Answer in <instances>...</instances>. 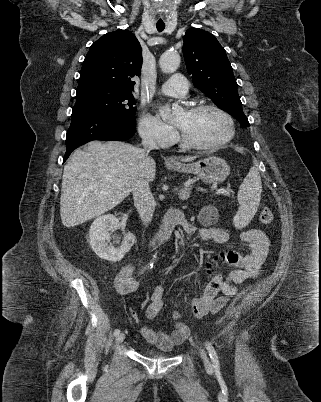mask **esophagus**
I'll return each mask as SVG.
<instances>
[{
    "label": "esophagus",
    "mask_w": 321,
    "mask_h": 402,
    "mask_svg": "<svg viewBox=\"0 0 321 402\" xmlns=\"http://www.w3.org/2000/svg\"><path fill=\"white\" fill-rule=\"evenodd\" d=\"M167 162L168 163H177L178 161L176 159H174V158H168Z\"/></svg>",
    "instance_id": "1"
}]
</instances>
